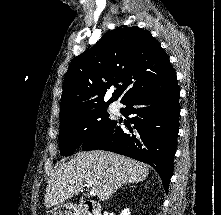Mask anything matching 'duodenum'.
<instances>
[{
	"instance_id": "1",
	"label": "duodenum",
	"mask_w": 221,
	"mask_h": 215,
	"mask_svg": "<svg viewBox=\"0 0 221 215\" xmlns=\"http://www.w3.org/2000/svg\"><path fill=\"white\" fill-rule=\"evenodd\" d=\"M82 215H101V207L97 202L87 201L81 206Z\"/></svg>"
}]
</instances>
